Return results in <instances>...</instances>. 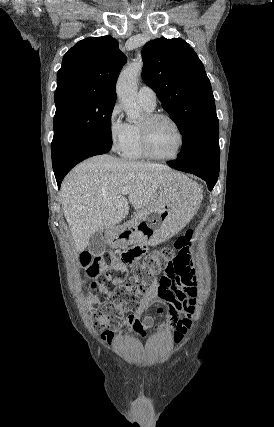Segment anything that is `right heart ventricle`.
Instances as JSON below:
<instances>
[{
	"instance_id": "obj_1",
	"label": "right heart ventricle",
	"mask_w": 274,
	"mask_h": 427,
	"mask_svg": "<svg viewBox=\"0 0 274 427\" xmlns=\"http://www.w3.org/2000/svg\"><path fill=\"white\" fill-rule=\"evenodd\" d=\"M145 111L149 114L152 113L151 110ZM120 155L123 159L129 160V161H143L147 158L143 155L140 146H139V139H138V125L136 124H130L129 125V134L128 139L120 151Z\"/></svg>"
}]
</instances>
